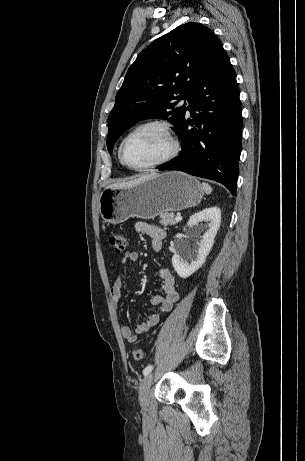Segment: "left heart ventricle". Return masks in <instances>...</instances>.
Returning <instances> with one entry per match:
<instances>
[{
    "mask_svg": "<svg viewBox=\"0 0 305 461\" xmlns=\"http://www.w3.org/2000/svg\"><path fill=\"white\" fill-rule=\"evenodd\" d=\"M171 148L166 134L158 128H146L133 135L126 143L125 156L136 166L147 165L163 158Z\"/></svg>",
    "mask_w": 305,
    "mask_h": 461,
    "instance_id": "b2bd125f",
    "label": "left heart ventricle"
}]
</instances>
